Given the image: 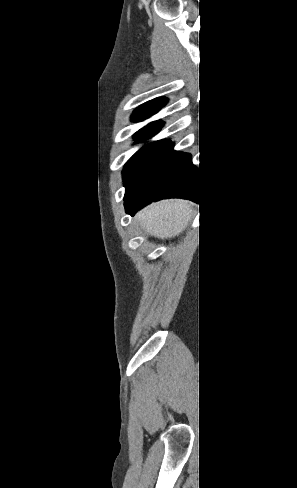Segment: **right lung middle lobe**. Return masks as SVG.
I'll use <instances>...</instances> for the list:
<instances>
[{"label": "right lung middle lobe", "mask_w": 297, "mask_h": 488, "mask_svg": "<svg viewBox=\"0 0 297 488\" xmlns=\"http://www.w3.org/2000/svg\"><path fill=\"white\" fill-rule=\"evenodd\" d=\"M155 133H136L135 140L147 139ZM170 140H159L155 143L144 146L124 166V186L126 187L125 197H127L133 188L137 185L143 175L147 172L153 162L167 149Z\"/></svg>", "instance_id": "dd1d6c3e"}]
</instances>
